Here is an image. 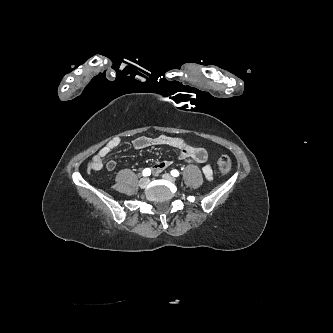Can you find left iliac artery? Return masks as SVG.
Wrapping results in <instances>:
<instances>
[{
  "mask_svg": "<svg viewBox=\"0 0 333 333\" xmlns=\"http://www.w3.org/2000/svg\"><path fill=\"white\" fill-rule=\"evenodd\" d=\"M179 174H180L179 171L176 170V169H173V170L171 171V175L174 176V177H178Z\"/></svg>",
  "mask_w": 333,
  "mask_h": 333,
  "instance_id": "44dca946",
  "label": "left iliac artery"
}]
</instances>
